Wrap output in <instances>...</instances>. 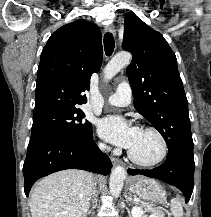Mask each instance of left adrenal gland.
<instances>
[{
	"instance_id": "left-adrenal-gland-1",
	"label": "left adrenal gland",
	"mask_w": 211,
	"mask_h": 217,
	"mask_svg": "<svg viewBox=\"0 0 211 217\" xmlns=\"http://www.w3.org/2000/svg\"><path fill=\"white\" fill-rule=\"evenodd\" d=\"M128 194H129V196H128L127 200H128L129 202H131V203L136 204L135 201H134L133 198H132L131 192H129Z\"/></svg>"
}]
</instances>
